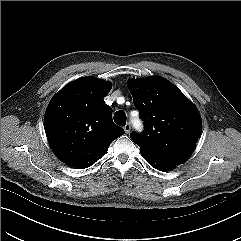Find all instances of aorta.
<instances>
[{
  "label": "aorta",
  "instance_id": "762f6f07",
  "mask_svg": "<svg viewBox=\"0 0 241 241\" xmlns=\"http://www.w3.org/2000/svg\"><path fill=\"white\" fill-rule=\"evenodd\" d=\"M133 125H134L136 128H138L139 125H140V122L137 121V120H134V121H133Z\"/></svg>",
  "mask_w": 241,
  "mask_h": 241
}]
</instances>
